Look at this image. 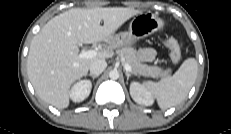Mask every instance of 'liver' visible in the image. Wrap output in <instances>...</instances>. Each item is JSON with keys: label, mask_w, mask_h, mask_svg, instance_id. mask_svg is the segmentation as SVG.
I'll use <instances>...</instances> for the list:
<instances>
[{"label": "liver", "mask_w": 231, "mask_h": 134, "mask_svg": "<svg viewBox=\"0 0 231 134\" xmlns=\"http://www.w3.org/2000/svg\"><path fill=\"white\" fill-rule=\"evenodd\" d=\"M139 13L124 7L72 8L50 19L33 37L27 58L28 77L38 96L58 109L68 107L71 85L87 75L95 60L113 55L101 51L94 58H80L77 44H111L118 28Z\"/></svg>", "instance_id": "liver-1"}]
</instances>
